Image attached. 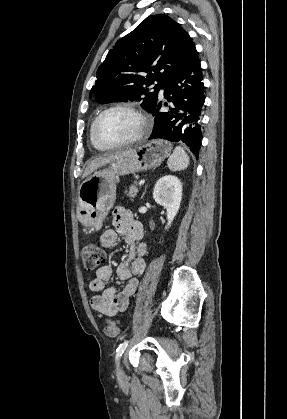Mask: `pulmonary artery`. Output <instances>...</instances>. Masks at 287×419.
<instances>
[{
	"instance_id": "1",
	"label": "pulmonary artery",
	"mask_w": 287,
	"mask_h": 419,
	"mask_svg": "<svg viewBox=\"0 0 287 419\" xmlns=\"http://www.w3.org/2000/svg\"><path fill=\"white\" fill-rule=\"evenodd\" d=\"M160 94L163 95L164 94V89H161Z\"/></svg>"
}]
</instances>
